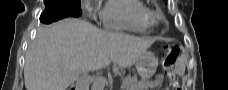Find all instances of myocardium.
Instances as JSON below:
<instances>
[{
    "label": "myocardium",
    "instance_id": "f54148a6",
    "mask_svg": "<svg viewBox=\"0 0 228 90\" xmlns=\"http://www.w3.org/2000/svg\"><path fill=\"white\" fill-rule=\"evenodd\" d=\"M150 24L151 25H156L157 24L156 16L153 13L150 14Z\"/></svg>",
    "mask_w": 228,
    "mask_h": 90
}]
</instances>
